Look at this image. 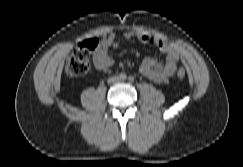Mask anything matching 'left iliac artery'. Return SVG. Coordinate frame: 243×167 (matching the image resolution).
Segmentation results:
<instances>
[{
	"label": "left iliac artery",
	"mask_w": 243,
	"mask_h": 167,
	"mask_svg": "<svg viewBox=\"0 0 243 167\" xmlns=\"http://www.w3.org/2000/svg\"><path fill=\"white\" fill-rule=\"evenodd\" d=\"M129 81H134V78L132 76H130Z\"/></svg>",
	"instance_id": "1"
}]
</instances>
